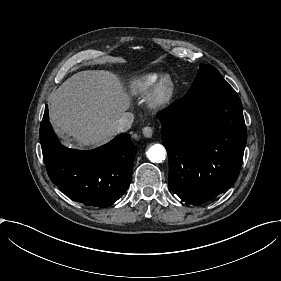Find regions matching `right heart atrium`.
Listing matches in <instances>:
<instances>
[{
    "instance_id": "obj_1",
    "label": "right heart atrium",
    "mask_w": 281,
    "mask_h": 281,
    "mask_svg": "<svg viewBox=\"0 0 281 281\" xmlns=\"http://www.w3.org/2000/svg\"><path fill=\"white\" fill-rule=\"evenodd\" d=\"M112 111L110 113L111 119H117L123 112V104L115 96H111Z\"/></svg>"
}]
</instances>
